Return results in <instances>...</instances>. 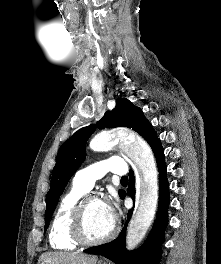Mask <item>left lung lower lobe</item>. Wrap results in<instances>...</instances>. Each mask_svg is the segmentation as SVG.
<instances>
[{
  "mask_svg": "<svg viewBox=\"0 0 221 264\" xmlns=\"http://www.w3.org/2000/svg\"><path fill=\"white\" fill-rule=\"evenodd\" d=\"M159 170V206L155 224L153 225L144 244L134 251H127L125 247V231L131 218L132 210H129L127 221L119 236L110 243L86 249L85 252L103 255L115 264H159L162 254L161 244L164 242V230L168 223L169 187L166 175V164L161 142L153 149ZM135 178L132 171L129 173V184L127 194L135 198ZM126 193L123 192V199Z\"/></svg>",
  "mask_w": 221,
  "mask_h": 264,
  "instance_id": "obj_1",
  "label": "left lung lower lobe"
}]
</instances>
